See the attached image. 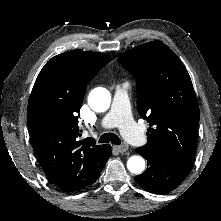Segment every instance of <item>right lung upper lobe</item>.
I'll list each match as a JSON object with an SVG mask.
<instances>
[{
  "instance_id": "1",
  "label": "right lung upper lobe",
  "mask_w": 221,
  "mask_h": 221,
  "mask_svg": "<svg viewBox=\"0 0 221 221\" xmlns=\"http://www.w3.org/2000/svg\"><path fill=\"white\" fill-rule=\"evenodd\" d=\"M110 61L107 54L72 50L51 58L33 86L27 110L34 152L51 181L77 191L96 181L110 145L79 141L78 116L87 84Z\"/></svg>"
}]
</instances>
